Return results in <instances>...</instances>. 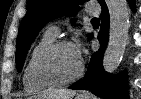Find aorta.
Masks as SVG:
<instances>
[{
  "label": "aorta",
  "mask_w": 141,
  "mask_h": 99,
  "mask_svg": "<svg viewBox=\"0 0 141 99\" xmlns=\"http://www.w3.org/2000/svg\"><path fill=\"white\" fill-rule=\"evenodd\" d=\"M109 11V42L103 57V67L108 73L118 68L127 44L130 11L127 0H106Z\"/></svg>",
  "instance_id": "obj_1"
}]
</instances>
